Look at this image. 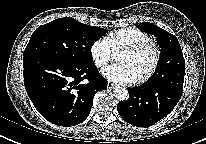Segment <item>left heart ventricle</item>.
<instances>
[{
  "label": "left heart ventricle",
  "mask_w": 206,
  "mask_h": 144,
  "mask_svg": "<svg viewBox=\"0 0 206 144\" xmlns=\"http://www.w3.org/2000/svg\"><path fill=\"white\" fill-rule=\"evenodd\" d=\"M117 60L120 63L127 64L133 71L136 79L141 77L149 69L152 62V52L150 50L137 54L120 52Z\"/></svg>",
  "instance_id": "1"
}]
</instances>
